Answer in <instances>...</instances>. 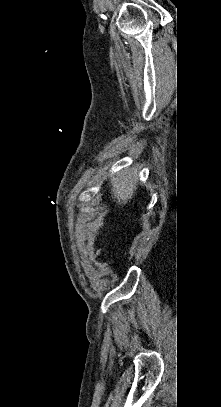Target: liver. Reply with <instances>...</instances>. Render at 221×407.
I'll return each instance as SVG.
<instances>
[{"label":"liver","instance_id":"obj_1","mask_svg":"<svg viewBox=\"0 0 221 407\" xmlns=\"http://www.w3.org/2000/svg\"><path fill=\"white\" fill-rule=\"evenodd\" d=\"M137 172L131 168L119 171L116 176L111 177V193L119 205L126 204L132 199L137 189Z\"/></svg>","mask_w":221,"mask_h":407}]
</instances>
